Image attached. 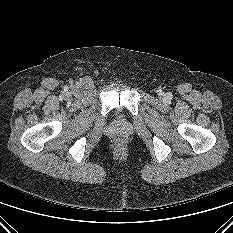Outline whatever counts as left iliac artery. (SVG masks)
I'll list each match as a JSON object with an SVG mask.
<instances>
[{"instance_id": "1", "label": "left iliac artery", "mask_w": 233, "mask_h": 233, "mask_svg": "<svg viewBox=\"0 0 233 233\" xmlns=\"http://www.w3.org/2000/svg\"><path fill=\"white\" fill-rule=\"evenodd\" d=\"M172 95L171 94H169V96L168 97H171Z\"/></svg>"}]
</instances>
